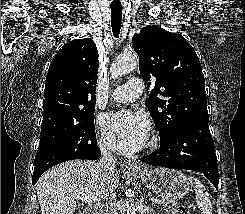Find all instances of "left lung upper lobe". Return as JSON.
I'll list each match as a JSON object with an SVG mask.
<instances>
[{"label": "left lung upper lobe", "mask_w": 245, "mask_h": 214, "mask_svg": "<svg viewBox=\"0 0 245 214\" xmlns=\"http://www.w3.org/2000/svg\"><path fill=\"white\" fill-rule=\"evenodd\" d=\"M132 42L142 78L155 80L146 106L161 143L169 142L191 124H208L205 78L198 56L185 38L158 26H147L134 35Z\"/></svg>", "instance_id": "1"}]
</instances>
